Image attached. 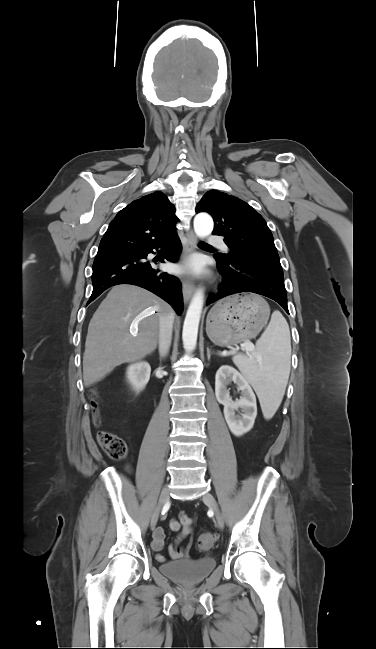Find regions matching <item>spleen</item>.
Here are the masks:
<instances>
[{
    "instance_id": "1",
    "label": "spleen",
    "mask_w": 376,
    "mask_h": 649,
    "mask_svg": "<svg viewBox=\"0 0 376 649\" xmlns=\"http://www.w3.org/2000/svg\"><path fill=\"white\" fill-rule=\"evenodd\" d=\"M290 359L289 326L277 310L256 342V355L233 357L234 364L256 391L266 419L275 414L282 402L290 374Z\"/></svg>"
}]
</instances>
